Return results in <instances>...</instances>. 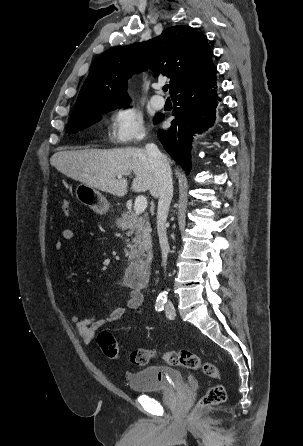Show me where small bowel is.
<instances>
[{
  "instance_id": "1",
  "label": "small bowel",
  "mask_w": 303,
  "mask_h": 446,
  "mask_svg": "<svg viewBox=\"0 0 303 446\" xmlns=\"http://www.w3.org/2000/svg\"><path fill=\"white\" fill-rule=\"evenodd\" d=\"M61 235L64 241H69L74 238L75 233L72 229L65 228ZM63 247L64 244L62 241H57L54 244V250L57 252L62 251ZM126 286L129 289V297L126 305L115 307L107 317L101 318L99 315H92L87 318H80L77 314L71 316L70 321L75 326L79 337L84 343L89 344L92 342L97 330L122 319L128 312H138L141 310L143 302L141 290L133 287L128 282Z\"/></svg>"
}]
</instances>
